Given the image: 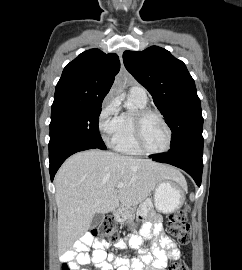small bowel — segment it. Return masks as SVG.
I'll return each mask as SVG.
<instances>
[{
	"instance_id": "obj_1",
	"label": "small bowel",
	"mask_w": 242,
	"mask_h": 270,
	"mask_svg": "<svg viewBox=\"0 0 242 270\" xmlns=\"http://www.w3.org/2000/svg\"><path fill=\"white\" fill-rule=\"evenodd\" d=\"M147 213L143 212L142 216ZM143 239L151 240L150 250L143 247ZM107 242L93 239L89 234L84 235L72 250L63 254L61 265H66L69 270H92L88 266L100 270H165L168 260H177L180 257V250L177 245L163 233L162 221L155 217L146 221L140 234H130L128 238L119 240L115 247L124 249L127 246L138 249L137 258H123L109 255L105 248ZM93 248L91 255L87 253L89 248Z\"/></svg>"
}]
</instances>
